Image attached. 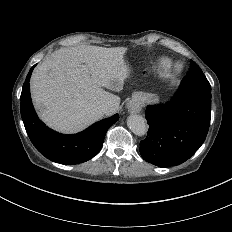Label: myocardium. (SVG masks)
<instances>
[{"instance_id":"myocardium-1","label":"myocardium","mask_w":232,"mask_h":232,"mask_svg":"<svg viewBox=\"0 0 232 232\" xmlns=\"http://www.w3.org/2000/svg\"><path fill=\"white\" fill-rule=\"evenodd\" d=\"M181 70H182V66L176 65L169 71L168 75L179 74Z\"/></svg>"}]
</instances>
